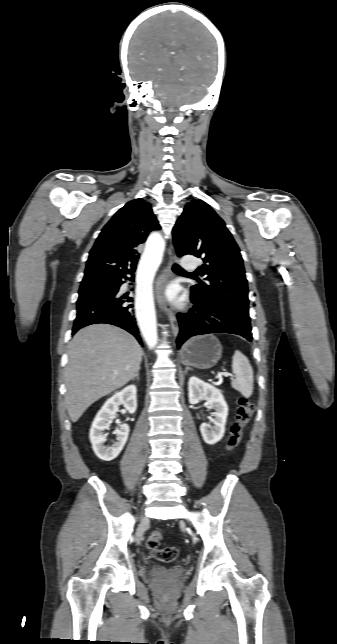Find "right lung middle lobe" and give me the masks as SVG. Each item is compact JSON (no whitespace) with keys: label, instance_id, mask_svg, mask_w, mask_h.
I'll return each instance as SVG.
<instances>
[{"label":"right lung middle lobe","instance_id":"obj_1","mask_svg":"<svg viewBox=\"0 0 337 644\" xmlns=\"http://www.w3.org/2000/svg\"><path fill=\"white\" fill-rule=\"evenodd\" d=\"M115 279H103L82 282L79 289L77 304L95 299L113 291Z\"/></svg>","mask_w":337,"mask_h":644}]
</instances>
